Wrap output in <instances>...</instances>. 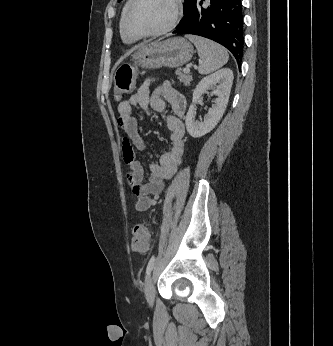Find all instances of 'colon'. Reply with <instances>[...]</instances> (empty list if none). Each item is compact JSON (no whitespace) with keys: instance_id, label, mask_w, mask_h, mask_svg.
I'll list each match as a JSON object with an SVG mask.
<instances>
[{"instance_id":"obj_1","label":"colon","mask_w":333,"mask_h":346,"mask_svg":"<svg viewBox=\"0 0 333 346\" xmlns=\"http://www.w3.org/2000/svg\"><path fill=\"white\" fill-rule=\"evenodd\" d=\"M135 68L130 64H124L118 68L115 74L114 93L118 99L123 98L132 91ZM150 241L149 224H140L134 227L131 237V249L137 253L148 250Z\"/></svg>"}]
</instances>
